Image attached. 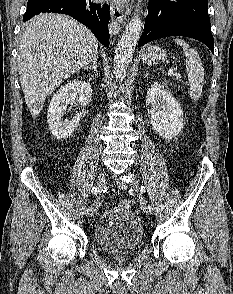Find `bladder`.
Returning a JSON list of instances; mask_svg holds the SVG:
<instances>
[{
	"label": "bladder",
	"instance_id": "obj_1",
	"mask_svg": "<svg viewBox=\"0 0 233 294\" xmlns=\"http://www.w3.org/2000/svg\"><path fill=\"white\" fill-rule=\"evenodd\" d=\"M140 219L129 209L110 208L103 212L94 228V240L105 252L126 255L136 251L143 242Z\"/></svg>",
	"mask_w": 233,
	"mask_h": 294
}]
</instances>
